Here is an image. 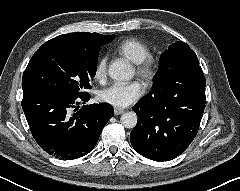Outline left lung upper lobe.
I'll use <instances>...</instances> for the list:
<instances>
[{"label":"left lung upper lobe","mask_w":240,"mask_h":191,"mask_svg":"<svg viewBox=\"0 0 240 191\" xmlns=\"http://www.w3.org/2000/svg\"><path fill=\"white\" fill-rule=\"evenodd\" d=\"M200 72L203 73L193 50L185 42L173 43L168 50L161 54L160 66L153 78V89L145 97H151L177 82L180 76L199 74Z\"/></svg>","instance_id":"1"}]
</instances>
